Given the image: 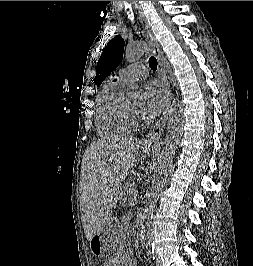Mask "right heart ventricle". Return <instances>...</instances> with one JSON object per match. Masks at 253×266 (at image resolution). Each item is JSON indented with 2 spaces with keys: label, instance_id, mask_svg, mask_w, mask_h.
Wrapping results in <instances>:
<instances>
[{
  "label": "right heart ventricle",
  "instance_id": "obj_1",
  "mask_svg": "<svg viewBox=\"0 0 253 266\" xmlns=\"http://www.w3.org/2000/svg\"><path fill=\"white\" fill-rule=\"evenodd\" d=\"M124 88L125 84L113 78L104 84L98 95L95 124L102 138H117L133 129L121 113Z\"/></svg>",
  "mask_w": 253,
  "mask_h": 266
}]
</instances>
